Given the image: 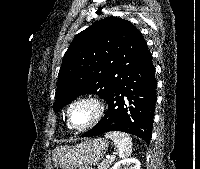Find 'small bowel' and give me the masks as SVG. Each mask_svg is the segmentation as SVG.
Segmentation results:
<instances>
[{"label": "small bowel", "mask_w": 200, "mask_h": 169, "mask_svg": "<svg viewBox=\"0 0 200 169\" xmlns=\"http://www.w3.org/2000/svg\"><path fill=\"white\" fill-rule=\"evenodd\" d=\"M80 169H92V168H88V167H82V168H80Z\"/></svg>", "instance_id": "obj_1"}]
</instances>
